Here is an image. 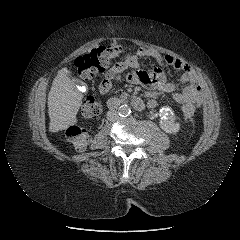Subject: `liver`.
I'll return each instance as SVG.
<instances>
[{
	"mask_svg": "<svg viewBox=\"0 0 240 240\" xmlns=\"http://www.w3.org/2000/svg\"><path fill=\"white\" fill-rule=\"evenodd\" d=\"M94 47H98L95 45ZM88 49V51H90ZM67 67L58 71L48 94L49 131L65 130L77 123L76 115L82 103L83 95L77 85L68 77Z\"/></svg>",
	"mask_w": 240,
	"mask_h": 240,
	"instance_id": "6515ba94",
	"label": "liver"
}]
</instances>
